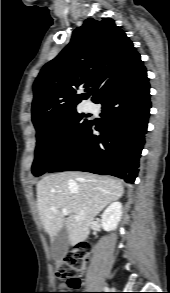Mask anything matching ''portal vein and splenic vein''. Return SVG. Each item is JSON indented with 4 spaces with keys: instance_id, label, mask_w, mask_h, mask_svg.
Masks as SVG:
<instances>
[{
    "instance_id": "portal-vein-and-splenic-vein-1",
    "label": "portal vein and splenic vein",
    "mask_w": 170,
    "mask_h": 293,
    "mask_svg": "<svg viewBox=\"0 0 170 293\" xmlns=\"http://www.w3.org/2000/svg\"><path fill=\"white\" fill-rule=\"evenodd\" d=\"M62 213H63V215H68L69 214V212H68V210L67 209H62ZM76 219H78L79 217L78 216H74Z\"/></svg>"
}]
</instances>
